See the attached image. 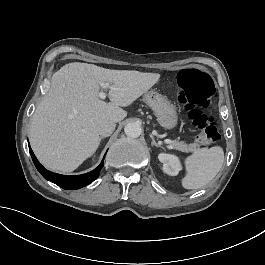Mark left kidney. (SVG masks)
Here are the masks:
<instances>
[{
    "label": "left kidney",
    "instance_id": "1",
    "mask_svg": "<svg viewBox=\"0 0 265 265\" xmlns=\"http://www.w3.org/2000/svg\"><path fill=\"white\" fill-rule=\"evenodd\" d=\"M160 162L163 163V170L170 174V175H176L179 170L178 166V160L173 155H167V154H160L159 155Z\"/></svg>",
    "mask_w": 265,
    "mask_h": 265
}]
</instances>
